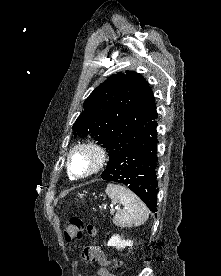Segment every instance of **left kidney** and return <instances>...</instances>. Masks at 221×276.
Returning <instances> with one entry per match:
<instances>
[{
  "instance_id": "left-kidney-1",
  "label": "left kidney",
  "mask_w": 221,
  "mask_h": 276,
  "mask_svg": "<svg viewBox=\"0 0 221 276\" xmlns=\"http://www.w3.org/2000/svg\"><path fill=\"white\" fill-rule=\"evenodd\" d=\"M133 241L131 240H124L119 235H114L108 241V246L116 247L118 250L124 249L127 246H132Z\"/></svg>"
}]
</instances>
